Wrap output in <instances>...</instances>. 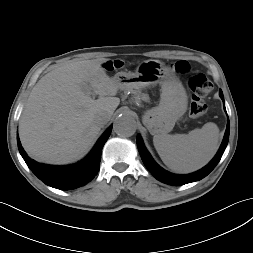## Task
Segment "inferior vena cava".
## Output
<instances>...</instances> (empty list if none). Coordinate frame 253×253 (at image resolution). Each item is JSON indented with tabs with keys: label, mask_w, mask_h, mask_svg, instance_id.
I'll return each mask as SVG.
<instances>
[{
	"label": "inferior vena cava",
	"mask_w": 253,
	"mask_h": 253,
	"mask_svg": "<svg viewBox=\"0 0 253 253\" xmlns=\"http://www.w3.org/2000/svg\"><path fill=\"white\" fill-rule=\"evenodd\" d=\"M109 121V116L106 113H100L95 117V123L99 126L105 125Z\"/></svg>",
	"instance_id": "1"
}]
</instances>
